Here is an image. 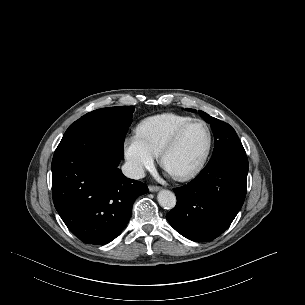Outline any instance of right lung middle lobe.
I'll list each match as a JSON object with an SVG mask.
<instances>
[{"mask_svg":"<svg viewBox=\"0 0 305 305\" xmlns=\"http://www.w3.org/2000/svg\"><path fill=\"white\" fill-rule=\"evenodd\" d=\"M133 112L134 106L108 107L89 112L69 126L56 150L101 141L123 158L124 140Z\"/></svg>","mask_w":305,"mask_h":305,"instance_id":"1","label":"right lung middle lobe"}]
</instances>
